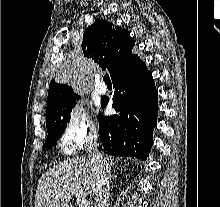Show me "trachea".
Returning a JSON list of instances; mask_svg holds the SVG:
<instances>
[{
  "instance_id": "trachea-1",
  "label": "trachea",
  "mask_w": 220,
  "mask_h": 207,
  "mask_svg": "<svg viewBox=\"0 0 220 207\" xmlns=\"http://www.w3.org/2000/svg\"><path fill=\"white\" fill-rule=\"evenodd\" d=\"M103 80H104L105 83H111V80H110V77H109L108 74L104 75Z\"/></svg>"
}]
</instances>
